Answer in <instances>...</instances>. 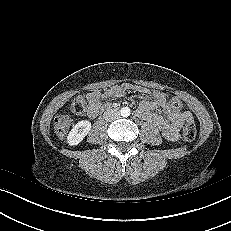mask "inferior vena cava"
<instances>
[{"mask_svg":"<svg viewBox=\"0 0 231 231\" xmlns=\"http://www.w3.org/2000/svg\"><path fill=\"white\" fill-rule=\"evenodd\" d=\"M103 117L107 121H113L120 117V112L117 109H109L104 112Z\"/></svg>","mask_w":231,"mask_h":231,"instance_id":"obj_1","label":"inferior vena cava"}]
</instances>
